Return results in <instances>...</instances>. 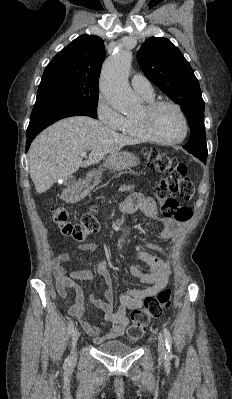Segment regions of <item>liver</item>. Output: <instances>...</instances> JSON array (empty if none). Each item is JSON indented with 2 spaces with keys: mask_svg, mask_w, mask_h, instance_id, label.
<instances>
[{
  "mask_svg": "<svg viewBox=\"0 0 232 399\" xmlns=\"http://www.w3.org/2000/svg\"><path fill=\"white\" fill-rule=\"evenodd\" d=\"M137 140L105 128L87 116L65 118L41 132L28 152L30 178L38 194L47 192L59 178H67L79 168L98 164L106 154H116ZM83 162L81 152H88Z\"/></svg>",
  "mask_w": 232,
  "mask_h": 399,
  "instance_id": "6515ba94",
  "label": "liver"
}]
</instances>
